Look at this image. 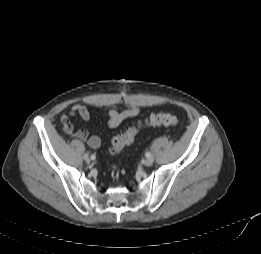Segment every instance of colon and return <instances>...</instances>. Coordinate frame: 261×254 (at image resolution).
Here are the masks:
<instances>
[{"label": "colon", "instance_id": "1", "mask_svg": "<svg viewBox=\"0 0 261 254\" xmlns=\"http://www.w3.org/2000/svg\"><path fill=\"white\" fill-rule=\"evenodd\" d=\"M179 124V119L172 113L151 114L149 117L137 121V123L127 128L123 133L116 136L112 140L110 153L117 155L121 153L125 147L132 144L136 136L148 127H175Z\"/></svg>", "mask_w": 261, "mask_h": 254}]
</instances>
